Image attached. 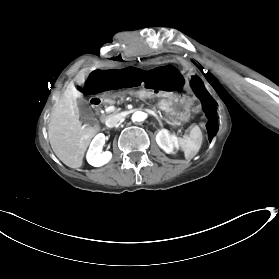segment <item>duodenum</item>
Returning a JSON list of instances; mask_svg holds the SVG:
<instances>
[{"mask_svg":"<svg viewBox=\"0 0 279 279\" xmlns=\"http://www.w3.org/2000/svg\"><path fill=\"white\" fill-rule=\"evenodd\" d=\"M157 95H158V91L156 89H153V90L136 92L134 94V97L136 99H140L146 97H156ZM87 102L94 111H101L103 109L104 101L102 97L96 93L89 95Z\"/></svg>","mask_w":279,"mask_h":279,"instance_id":"obj_1","label":"duodenum"}]
</instances>
